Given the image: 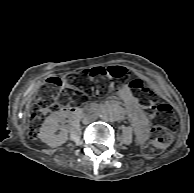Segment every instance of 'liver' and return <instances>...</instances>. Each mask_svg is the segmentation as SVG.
Returning <instances> with one entry per match:
<instances>
[{"mask_svg": "<svg viewBox=\"0 0 194 193\" xmlns=\"http://www.w3.org/2000/svg\"><path fill=\"white\" fill-rule=\"evenodd\" d=\"M29 106H30V105H29V103H28V104L26 105V110H28V109H29Z\"/></svg>", "mask_w": 194, "mask_h": 193, "instance_id": "6515ba94", "label": "liver"}]
</instances>
